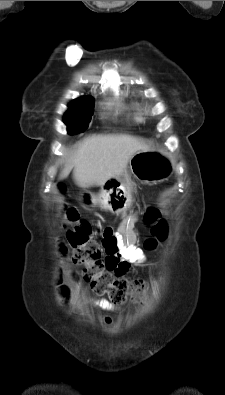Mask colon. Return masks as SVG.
I'll return each mask as SVG.
<instances>
[{"mask_svg":"<svg viewBox=\"0 0 225 395\" xmlns=\"http://www.w3.org/2000/svg\"><path fill=\"white\" fill-rule=\"evenodd\" d=\"M63 221L70 227L66 236L67 247L72 251L73 262L83 266L84 281L89 283L96 293L107 295L113 304H123L128 300L142 302L148 285L142 280L130 283L113 274L109 266L114 261L107 255L102 259V251L94 240L92 227L87 221L80 219L77 209L66 206ZM145 221L153 224L152 237L145 242V248L152 250L158 242L166 238L167 227L165 222L157 220V213L153 210L146 213ZM66 294V290H63V295Z\"/></svg>","mask_w":225,"mask_h":395,"instance_id":"5ec220e1","label":"colon"}]
</instances>
